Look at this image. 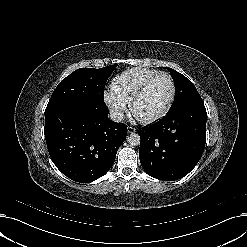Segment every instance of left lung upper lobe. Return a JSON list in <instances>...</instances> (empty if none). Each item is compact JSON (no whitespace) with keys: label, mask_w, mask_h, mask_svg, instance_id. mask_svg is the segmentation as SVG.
I'll return each instance as SVG.
<instances>
[{"label":"left lung upper lobe","mask_w":247,"mask_h":247,"mask_svg":"<svg viewBox=\"0 0 247 247\" xmlns=\"http://www.w3.org/2000/svg\"><path fill=\"white\" fill-rule=\"evenodd\" d=\"M175 84V98L168 113L179 110L190 102L201 99L194 84L181 73L169 68Z\"/></svg>","instance_id":"left-lung-upper-lobe-1"}]
</instances>
